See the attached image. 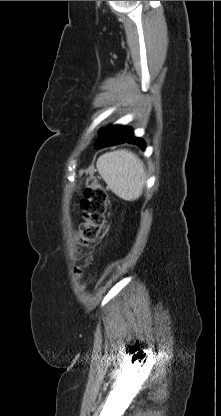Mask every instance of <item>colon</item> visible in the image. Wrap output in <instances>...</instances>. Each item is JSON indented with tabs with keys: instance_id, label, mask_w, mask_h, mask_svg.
<instances>
[{
	"instance_id": "5ec220e1",
	"label": "colon",
	"mask_w": 221,
	"mask_h": 416,
	"mask_svg": "<svg viewBox=\"0 0 221 416\" xmlns=\"http://www.w3.org/2000/svg\"><path fill=\"white\" fill-rule=\"evenodd\" d=\"M107 209L108 195L106 190L96 177H88L82 200L83 221L78 228V236L82 246H87L99 238L105 226Z\"/></svg>"
}]
</instances>
